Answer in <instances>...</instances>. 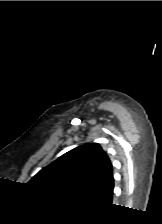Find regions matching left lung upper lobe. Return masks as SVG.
Wrapping results in <instances>:
<instances>
[{
  "label": "left lung upper lobe",
  "instance_id": "1",
  "mask_svg": "<svg viewBox=\"0 0 162 224\" xmlns=\"http://www.w3.org/2000/svg\"><path fill=\"white\" fill-rule=\"evenodd\" d=\"M112 175V164L97 143L72 149L41 169L28 184L61 197L86 199Z\"/></svg>",
  "mask_w": 162,
  "mask_h": 224
}]
</instances>
